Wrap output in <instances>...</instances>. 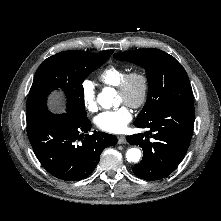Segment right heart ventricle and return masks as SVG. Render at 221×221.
Listing matches in <instances>:
<instances>
[{
	"label": "right heart ventricle",
	"instance_id": "right-heart-ventricle-1",
	"mask_svg": "<svg viewBox=\"0 0 221 221\" xmlns=\"http://www.w3.org/2000/svg\"><path fill=\"white\" fill-rule=\"evenodd\" d=\"M125 75L126 70L124 68L116 65H109L101 72L99 79L108 86L118 87Z\"/></svg>",
	"mask_w": 221,
	"mask_h": 221
}]
</instances>
